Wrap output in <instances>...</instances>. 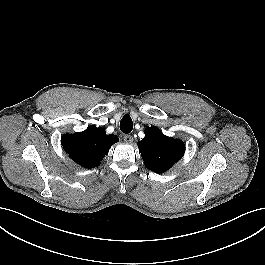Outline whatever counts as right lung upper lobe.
Masks as SVG:
<instances>
[{
	"instance_id": "right-lung-upper-lobe-1",
	"label": "right lung upper lobe",
	"mask_w": 265,
	"mask_h": 265,
	"mask_svg": "<svg viewBox=\"0 0 265 265\" xmlns=\"http://www.w3.org/2000/svg\"><path fill=\"white\" fill-rule=\"evenodd\" d=\"M118 141L116 135H107L103 128L92 125L83 132L65 134L62 146L77 164L94 168L100 165L111 146Z\"/></svg>"
}]
</instances>
